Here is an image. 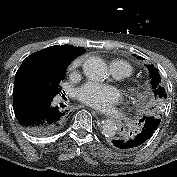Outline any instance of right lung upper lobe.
<instances>
[{"label": "right lung upper lobe", "mask_w": 177, "mask_h": 177, "mask_svg": "<svg viewBox=\"0 0 177 177\" xmlns=\"http://www.w3.org/2000/svg\"><path fill=\"white\" fill-rule=\"evenodd\" d=\"M83 52L82 47L72 45L50 46L28 56L18 69L14 86L29 75L52 76L62 72L71 61Z\"/></svg>", "instance_id": "right-lung-upper-lobe-1"}]
</instances>
